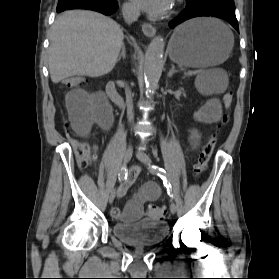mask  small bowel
I'll list each match as a JSON object with an SVG mask.
<instances>
[{
  "label": "small bowel",
  "instance_id": "obj_1",
  "mask_svg": "<svg viewBox=\"0 0 279 279\" xmlns=\"http://www.w3.org/2000/svg\"><path fill=\"white\" fill-rule=\"evenodd\" d=\"M66 103L72 127L80 136L87 137L93 125H98L105 132L112 128L113 114L102 94H90L83 89H75L67 94ZM220 117L221 104L216 98L208 100L195 114V118L204 123L216 122ZM199 137L196 130L191 131L190 142L194 147L198 144ZM139 173L140 167H132L125 187L130 186ZM160 195V187L154 182H147L127 202L123 211L115 207L111 210V214L116 219L137 220L143 216V204L158 199Z\"/></svg>",
  "mask_w": 279,
  "mask_h": 279
}]
</instances>
